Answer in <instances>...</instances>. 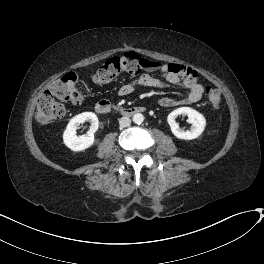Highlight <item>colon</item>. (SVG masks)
<instances>
[{"mask_svg": "<svg viewBox=\"0 0 264 264\" xmlns=\"http://www.w3.org/2000/svg\"><path fill=\"white\" fill-rule=\"evenodd\" d=\"M142 69L141 59L132 53L107 60L95 73V80L105 83L114 80L121 73L134 74ZM206 98L214 108L222 105V93L214 86L206 87ZM59 100L79 104L83 100V92L75 73L70 72L56 80L50 90L41 94L37 101L36 120L47 124L61 119L66 114L65 106Z\"/></svg>", "mask_w": 264, "mask_h": 264, "instance_id": "5ec220e1", "label": "colon"}]
</instances>
